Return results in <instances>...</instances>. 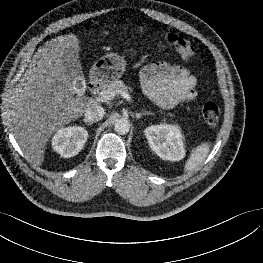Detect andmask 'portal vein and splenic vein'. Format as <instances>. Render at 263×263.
<instances>
[{"label": "portal vein and splenic vein", "instance_id": "portal-vein-and-splenic-vein-1", "mask_svg": "<svg viewBox=\"0 0 263 263\" xmlns=\"http://www.w3.org/2000/svg\"><path fill=\"white\" fill-rule=\"evenodd\" d=\"M121 95L123 98H125L127 101H130L131 100V97L130 95L128 94V92H121ZM99 96L102 100L106 101V100H111L115 97V93L114 92H111L109 90H103L99 93Z\"/></svg>", "mask_w": 263, "mask_h": 263}]
</instances>
